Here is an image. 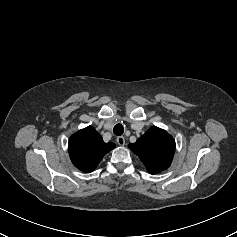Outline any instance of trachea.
I'll return each mask as SVG.
<instances>
[{"label": "trachea", "instance_id": "1", "mask_svg": "<svg viewBox=\"0 0 237 237\" xmlns=\"http://www.w3.org/2000/svg\"><path fill=\"white\" fill-rule=\"evenodd\" d=\"M113 132H114L115 135L120 136V135L123 134L124 128L121 124H116L113 128Z\"/></svg>", "mask_w": 237, "mask_h": 237}]
</instances>
